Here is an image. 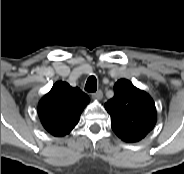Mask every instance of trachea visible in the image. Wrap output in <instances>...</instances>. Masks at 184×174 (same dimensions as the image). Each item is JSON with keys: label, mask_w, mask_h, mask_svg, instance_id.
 <instances>
[{"label": "trachea", "mask_w": 184, "mask_h": 174, "mask_svg": "<svg viewBox=\"0 0 184 174\" xmlns=\"http://www.w3.org/2000/svg\"><path fill=\"white\" fill-rule=\"evenodd\" d=\"M85 90L95 92L97 90V80L95 76H90L86 82Z\"/></svg>", "instance_id": "3493384b"}]
</instances>
